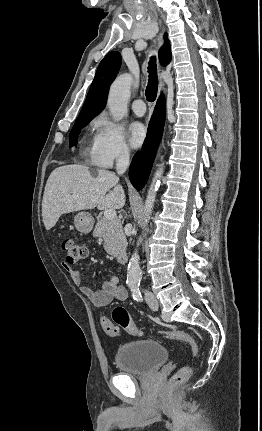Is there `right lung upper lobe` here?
<instances>
[{
	"label": "right lung upper lobe",
	"mask_w": 262,
	"mask_h": 431,
	"mask_svg": "<svg viewBox=\"0 0 262 431\" xmlns=\"http://www.w3.org/2000/svg\"><path fill=\"white\" fill-rule=\"evenodd\" d=\"M164 38L165 44L159 51V60L163 66H166L170 63L172 54L169 41L167 40V34H165ZM120 65L121 56L116 51L108 53L100 62L78 118L93 119L104 109L109 86L115 79Z\"/></svg>",
	"instance_id": "obj_1"
}]
</instances>
